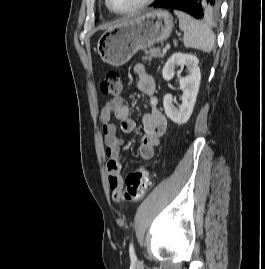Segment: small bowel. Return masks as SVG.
<instances>
[{"label": "small bowel", "instance_id": "1", "mask_svg": "<svg viewBox=\"0 0 265 269\" xmlns=\"http://www.w3.org/2000/svg\"><path fill=\"white\" fill-rule=\"evenodd\" d=\"M137 80V89L148 96L151 109L142 118L144 135L139 144V154L144 160L153 158L160 138L166 131L167 120L158 108L155 97L156 84L143 64H136L133 68ZM115 117L121 124V132L129 134L135 129V121L130 117V109L121 97L107 100L100 112V121L105 141V154L107 156L108 185L112 196L120 201L122 190L121 167L119 163L121 138L118 136L117 126L112 119Z\"/></svg>", "mask_w": 265, "mask_h": 269}]
</instances>
